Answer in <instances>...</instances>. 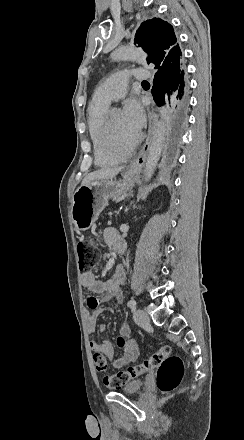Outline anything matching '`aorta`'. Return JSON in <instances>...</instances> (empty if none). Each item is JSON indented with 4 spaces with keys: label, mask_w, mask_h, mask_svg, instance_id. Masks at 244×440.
I'll use <instances>...</instances> for the list:
<instances>
[{
    "label": "aorta",
    "mask_w": 244,
    "mask_h": 440,
    "mask_svg": "<svg viewBox=\"0 0 244 440\" xmlns=\"http://www.w3.org/2000/svg\"><path fill=\"white\" fill-rule=\"evenodd\" d=\"M113 57L117 60H143L146 55L141 49L138 48H120L114 52ZM162 111L164 110L162 109ZM165 134L166 120L163 116H161L156 124V128L148 148V156L144 170L145 181H148L151 178L160 159L164 146Z\"/></svg>",
    "instance_id": "1"
}]
</instances>
